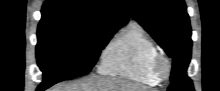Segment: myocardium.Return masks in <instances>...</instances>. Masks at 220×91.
Returning a JSON list of instances; mask_svg holds the SVG:
<instances>
[{
	"label": "myocardium",
	"mask_w": 220,
	"mask_h": 91,
	"mask_svg": "<svg viewBox=\"0 0 220 91\" xmlns=\"http://www.w3.org/2000/svg\"><path fill=\"white\" fill-rule=\"evenodd\" d=\"M153 70L159 80L168 79L172 70L171 61L168 56L158 53L153 61Z\"/></svg>",
	"instance_id": "f54148a6"
}]
</instances>
